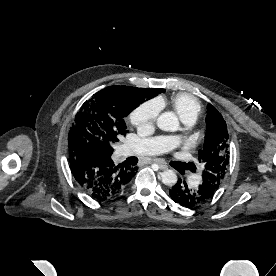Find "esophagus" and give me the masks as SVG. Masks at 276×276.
Listing matches in <instances>:
<instances>
[{
	"mask_svg": "<svg viewBox=\"0 0 276 276\" xmlns=\"http://www.w3.org/2000/svg\"><path fill=\"white\" fill-rule=\"evenodd\" d=\"M151 162L152 163H156L159 166L160 170H166V169H168L167 164L164 161H162V160L153 159V160H151Z\"/></svg>",
	"mask_w": 276,
	"mask_h": 276,
	"instance_id": "esophagus-1",
	"label": "esophagus"
}]
</instances>
